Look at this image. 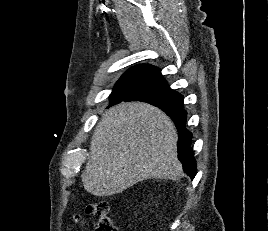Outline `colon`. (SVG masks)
<instances>
[{
  "instance_id": "colon-1",
  "label": "colon",
  "mask_w": 268,
  "mask_h": 231,
  "mask_svg": "<svg viewBox=\"0 0 268 231\" xmlns=\"http://www.w3.org/2000/svg\"><path fill=\"white\" fill-rule=\"evenodd\" d=\"M96 216L95 231H118L112 217L109 214V205L106 201H100L92 207Z\"/></svg>"
}]
</instances>
